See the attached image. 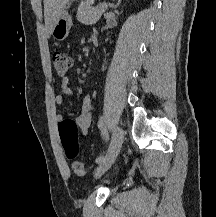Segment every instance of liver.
I'll return each mask as SVG.
<instances>
[{
    "mask_svg": "<svg viewBox=\"0 0 216 217\" xmlns=\"http://www.w3.org/2000/svg\"><path fill=\"white\" fill-rule=\"evenodd\" d=\"M69 1L70 0H43L45 27L48 36L51 35L55 22L66 8Z\"/></svg>",
    "mask_w": 216,
    "mask_h": 217,
    "instance_id": "liver-1",
    "label": "liver"
}]
</instances>
